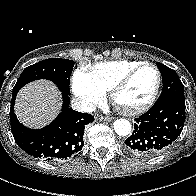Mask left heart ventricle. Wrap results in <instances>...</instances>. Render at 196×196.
<instances>
[{
	"label": "left heart ventricle",
	"instance_id": "b2bd125f",
	"mask_svg": "<svg viewBox=\"0 0 196 196\" xmlns=\"http://www.w3.org/2000/svg\"><path fill=\"white\" fill-rule=\"evenodd\" d=\"M157 74L152 68H143L131 79L118 94L117 104L121 108H131L143 104L153 93Z\"/></svg>",
	"mask_w": 196,
	"mask_h": 196
}]
</instances>
